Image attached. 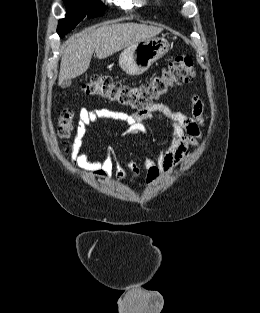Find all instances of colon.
<instances>
[{
    "label": "colon",
    "instance_id": "1",
    "mask_svg": "<svg viewBox=\"0 0 260 313\" xmlns=\"http://www.w3.org/2000/svg\"><path fill=\"white\" fill-rule=\"evenodd\" d=\"M194 77L192 59L188 56H177L142 84L129 85L109 76H94L83 84L82 90L88 96L106 99L133 110L146 111L171 89L191 82ZM73 120L74 113L64 108L56 127V134L60 139H67L71 135Z\"/></svg>",
    "mask_w": 260,
    "mask_h": 313
}]
</instances>
